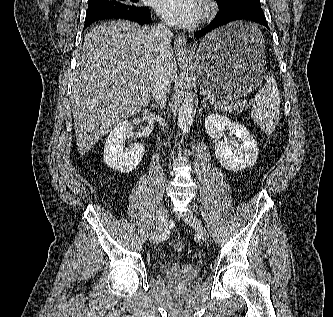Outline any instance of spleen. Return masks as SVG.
<instances>
[{"mask_svg": "<svg viewBox=\"0 0 333 317\" xmlns=\"http://www.w3.org/2000/svg\"><path fill=\"white\" fill-rule=\"evenodd\" d=\"M255 102L251 117L267 135H270L275 130L280 116V95L273 76H268L265 85L258 90Z\"/></svg>", "mask_w": 333, "mask_h": 317, "instance_id": "3e777b00", "label": "spleen"}]
</instances>
